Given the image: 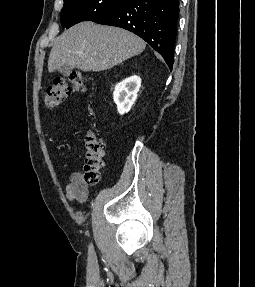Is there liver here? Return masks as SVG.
Wrapping results in <instances>:
<instances>
[{"instance_id": "6515ba94", "label": "liver", "mask_w": 255, "mask_h": 287, "mask_svg": "<svg viewBox=\"0 0 255 287\" xmlns=\"http://www.w3.org/2000/svg\"><path fill=\"white\" fill-rule=\"evenodd\" d=\"M145 42L122 28L81 22L55 40L48 60L49 72L73 66L83 72L110 70L145 50Z\"/></svg>"}]
</instances>
